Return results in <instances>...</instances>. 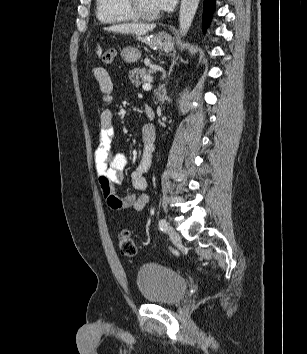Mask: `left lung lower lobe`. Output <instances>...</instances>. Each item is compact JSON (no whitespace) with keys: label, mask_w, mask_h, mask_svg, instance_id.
Segmentation results:
<instances>
[{"label":"left lung lower lobe","mask_w":307,"mask_h":354,"mask_svg":"<svg viewBox=\"0 0 307 354\" xmlns=\"http://www.w3.org/2000/svg\"><path fill=\"white\" fill-rule=\"evenodd\" d=\"M214 7H215V0H205L203 23H202V27L204 31L206 30V28L208 27L211 21V16L214 11Z\"/></svg>","instance_id":"0a47b994"}]
</instances>
